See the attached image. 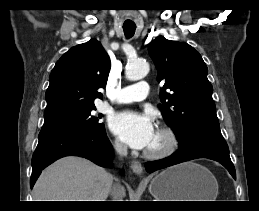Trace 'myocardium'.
<instances>
[{"mask_svg":"<svg viewBox=\"0 0 259 211\" xmlns=\"http://www.w3.org/2000/svg\"><path fill=\"white\" fill-rule=\"evenodd\" d=\"M157 132L164 137V144L157 149H146L144 155L151 159H160L171 155L178 147V137L173 128L161 125Z\"/></svg>","mask_w":259,"mask_h":211,"instance_id":"1","label":"myocardium"}]
</instances>
